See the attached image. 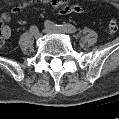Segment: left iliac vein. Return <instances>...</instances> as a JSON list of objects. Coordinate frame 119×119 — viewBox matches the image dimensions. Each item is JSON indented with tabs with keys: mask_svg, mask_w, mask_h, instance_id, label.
I'll return each instance as SVG.
<instances>
[{
	"mask_svg": "<svg viewBox=\"0 0 119 119\" xmlns=\"http://www.w3.org/2000/svg\"><path fill=\"white\" fill-rule=\"evenodd\" d=\"M44 33H46V34H64L65 32L62 30H57V29L46 27L44 29Z\"/></svg>",
	"mask_w": 119,
	"mask_h": 119,
	"instance_id": "left-iliac-vein-1",
	"label": "left iliac vein"
}]
</instances>
